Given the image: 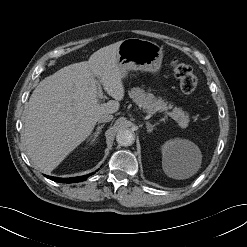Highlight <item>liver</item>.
Returning <instances> with one entry per match:
<instances>
[{
  "mask_svg": "<svg viewBox=\"0 0 247 247\" xmlns=\"http://www.w3.org/2000/svg\"><path fill=\"white\" fill-rule=\"evenodd\" d=\"M120 43L58 70L34 89L25 114L24 139L29 157L43 172L54 170L91 134L100 114L119 110L124 97L117 63ZM98 82L115 100L98 99Z\"/></svg>",
  "mask_w": 247,
  "mask_h": 247,
  "instance_id": "1",
  "label": "liver"
}]
</instances>
